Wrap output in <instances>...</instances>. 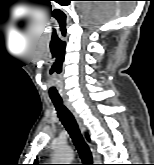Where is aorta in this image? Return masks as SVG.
<instances>
[{
  "instance_id": "762f6f07",
  "label": "aorta",
  "mask_w": 154,
  "mask_h": 165,
  "mask_svg": "<svg viewBox=\"0 0 154 165\" xmlns=\"http://www.w3.org/2000/svg\"><path fill=\"white\" fill-rule=\"evenodd\" d=\"M74 152L70 147H59L55 150L52 164H71Z\"/></svg>"
}]
</instances>
